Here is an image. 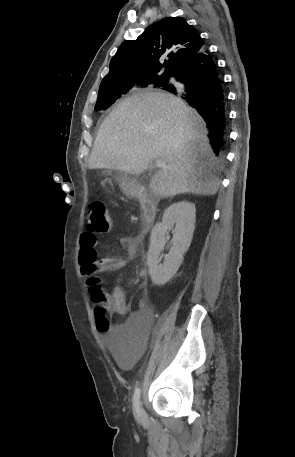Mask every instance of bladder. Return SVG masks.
Returning a JSON list of instances; mask_svg holds the SVG:
<instances>
[{
  "label": "bladder",
  "instance_id": "bladder-1",
  "mask_svg": "<svg viewBox=\"0 0 295 457\" xmlns=\"http://www.w3.org/2000/svg\"><path fill=\"white\" fill-rule=\"evenodd\" d=\"M105 347H113L112 354L122 368L131 367L147 347V338H105Z\"/></svg>",
  "mask_w": 295,
  "mask_h": 457
}]
</instances>
